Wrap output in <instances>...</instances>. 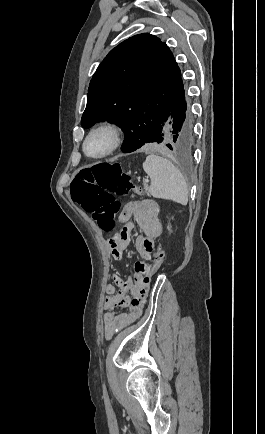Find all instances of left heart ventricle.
<instances>
[{
    "label": "left heart ventricle",
    "mask_w": 265,
    "mask_h": 434,
    "mask_svg": "<svg viewBox=\"0 0 265 434\" xmlns=\"http://www.w3.org/2000/svg\"><path fill=\"white\" fill-rule=\"evenodd\" d=\"M108 141L104 136H96L92 138L87 145V152L91 155L98 154L105 150Z\"/></svg>",
    "instance_id": "obj_1"
}]
</instances>
